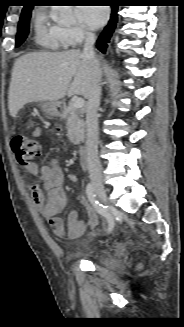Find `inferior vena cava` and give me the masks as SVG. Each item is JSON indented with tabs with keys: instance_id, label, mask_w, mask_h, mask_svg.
I'll return each instance as SVG.
<instances>
[{
	"instance_id": "1",
	"label": "inferior vena cava",
	"mask_w": 184,
	"mask_h": 327,
	"mask_svg": "<svg viewBox=\"0 0 184 327\" xmlns=\"http://www.w3.org/2000/svg\"><path fill=\"white\" fill-rule=\"evenodd\" d=\"M96 36L92 32H86V38L83 46V57L86 58L94 67L97 74L92 79L91 89L88 96L86 108V125H87V162L90 180L92 182H101L102 168L98 156V118L97 111L100 105L101 84L100 76L98 75V61L94 52V43Z\"/></svg>"
}]
</instances>
